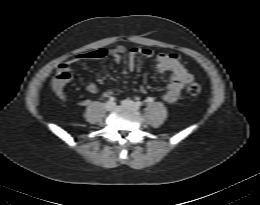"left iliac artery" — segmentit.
<instances>
[{
    "mask_svg": "<svg viewBox=\"0 0 260 205\" xmlns=\"http://www.w3.org/2000/svg\"><path fill=\"white\" fill-rule=\"evenodd\" d=\"M136 104H137L138 107L142 106V102L141 101H137Z\"/></svg>",
    "mask_w": 260,
    "mask_h": 205,
    "instance_id": "1",
    "label": "left iliac artery"
}]
</instances>
